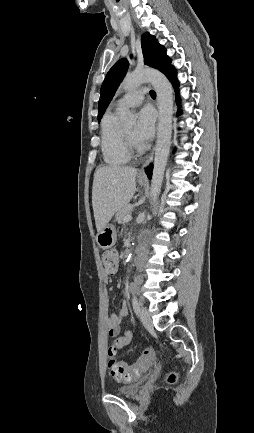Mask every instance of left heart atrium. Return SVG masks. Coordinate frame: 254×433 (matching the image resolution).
Masks as SVG:
<instances>
[{"label":"left heart atrium","instance_id":"39dd6f15","mask_svg":"<svg viewBox=\"0 0 254 433\" xmlns=\"http://www.w3.org/2000/svg\"><path fill=\"white\" fill-rule=\"evenodd\" d=\"M156 116L154 111L145 107L138 113L137 125L134 130V137L138 143H144L149 140L155 130Z\"/></svg>","mask_w":254,"mask_h":433}]
</instances>
